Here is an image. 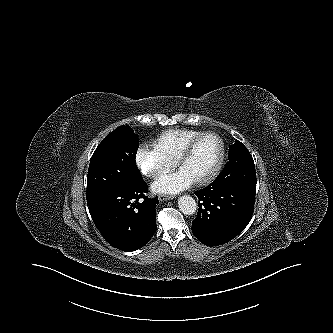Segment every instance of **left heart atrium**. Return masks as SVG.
<instances>
[{
	"mask_svg": "<svg viewBox=\"0 0 333 333\" xmlns=\"http://www.w3.org/2000/svg\"><path fill=\"white\" fill-rule=\"evenodd\" d=\"M193 180L183 171L160 177L152 184V189L156 193L176 194L193 184Z\"/></svg>",
	"mask_w": 333,
	"mask_h": 333,
	"instance_id": "obj_1",
	"label": "left heart atrium"
}]
</instances>
